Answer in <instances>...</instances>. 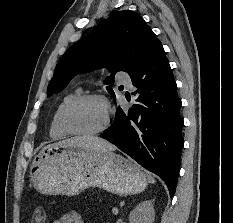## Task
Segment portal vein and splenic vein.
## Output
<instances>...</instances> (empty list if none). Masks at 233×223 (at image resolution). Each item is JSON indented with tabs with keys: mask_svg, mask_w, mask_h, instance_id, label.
I'll use <instances>...</instances> for the list:
<instances>
[{
	"mask_svg": "<svg viewBox=\"0 0 233 223\" xmlns=\"http://www.w3.org/2000/svg\"><path fill=\"white\" fill-rule=\"evenodd\" d=\"M112 211H113L114 215H117V213H118L117 207H113Z\"/></svg>",
	"mask_w": 233,
	"mask_h": 223,
	"instance_id": "obj_1",
	"label": "portal vein and splenic vein"
}]
</instances>
